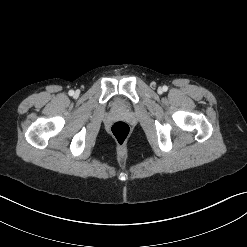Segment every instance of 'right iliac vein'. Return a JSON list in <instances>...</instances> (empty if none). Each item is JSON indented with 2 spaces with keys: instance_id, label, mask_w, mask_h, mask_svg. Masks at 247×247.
<instances>
[{
  "instance_id": "right-iliac-vein-1",
  "label": "right iliac vein",
  "mask_w": 247,
  "mask_h": 247,
  "mask_svg": "<svg viewBox=\"0 0 247 247\" xmlns=\"http://www.w3.org/2000/svg\"><path fill=\"white\" fill-rule=\"evenodd\" d=\"M78 94H79L78 92L75 93L76 96H77Z\"/></svg>"
}]
</instances>
